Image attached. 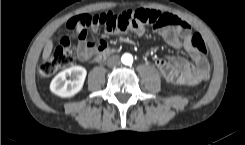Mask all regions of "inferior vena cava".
Wrapping results in <instances>:
<instances>
[{
    "label": "inferior vena cava",
    "mask_w": 245,
    "mask_h": 145,
    "mask_svg": "<svg viewBox=\"0 0 245 145\" xmlns=\"http://www.w3.org/2000/svg\"><path fill=\"white\" fill-rule=\"evenodd\" d=\"M107 65L111 68L117 67L120 65V59L118 56H112L107 60Z\"/></svg>",
    "instance_id": "1"
}]
</instances>
